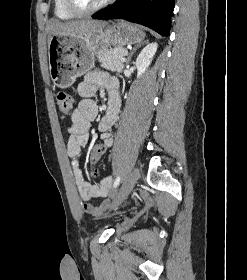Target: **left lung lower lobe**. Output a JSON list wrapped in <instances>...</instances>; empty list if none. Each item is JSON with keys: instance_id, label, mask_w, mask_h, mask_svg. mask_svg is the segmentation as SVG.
<instances>
[{"instance_id": "1", "label": "left lung lower lobe", "mask_w": 247, "mask_h": 280, "mask_svg": "<svg viewBox=\"0 0 247 280\" xmlns=\"http://www.w3.org/2000/svg\"><path fill=\"white\" fill-rule=\"evenodd\" d=\"M174 6V0H117L93 18L125 19L147 26L162 36H169Z\"/></svg>"}]
</instances>
